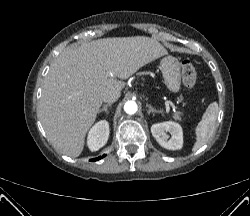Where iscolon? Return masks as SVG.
Returning <instances> with one entry per match:
<instances>
[{
	"label": "colon",
	"mask_w": 250,
	"mask_h": 216,
	"mask_svg": "<svg viewBox=\"0 0 250 216\" xmlns=\"http://www.w3.org/2000/svg\"><path fill=\"white\" fill-rule=\"evenodd\" d=\"M197 81L196 70L191 61L185 59L182 62V83L188 90H192Z\"/></svg>",
	"instance_id": "1"
}]
</instances>
